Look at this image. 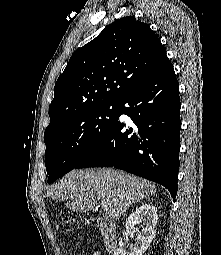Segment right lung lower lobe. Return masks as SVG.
<instances>
[{
	"mask_svg": "<svg viewBox=\"0 0 221 255\" xmlns=\"http://www.w3.org/2000/svg\"><path fill=\"white\" fill-rule=\"evenodd\" d=\"M119 115L100 141L74 168L115 167L177 194L180 150L179 85L166 57L119 102ZM126 114L127 127L119 121Z\"/></svg>",
	"mask_w": 221,
	"mask_h": 255,
	"instance_id": "obj_1",
	"label": "right lung lower lobe"
}]
</instances>
